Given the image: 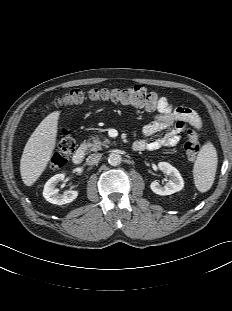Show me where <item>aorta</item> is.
Returning <instances> with one entry per match:
<instances>
[{
    "mask_svg": "<svg viewBox=\"0 0 232 311\" xmlns=\"http://www.w3.org/2000/svg\"><path fill=\"white\" fill-rule=\"evenodd\" d=\"M122 158L118 153H110L108 157V162L112 166H117L121 163Z\"/></svg>",
    "mask_w": 232,
    "mask_h": 311,
    "instance_id": "1",
    "label": "aorta"
}]
</instances>
